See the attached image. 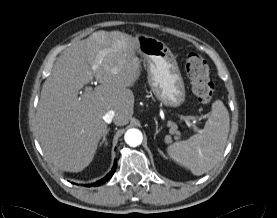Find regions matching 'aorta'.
Returning <instances> with one entry per match:
<instances>
[{
    "label": "aorta",
    "mask_w": 277,
    "mask_h": 218,
    "mask_svg": "<svg viewBox=\"0 0 277 218\" xmlns=\"http://www.w3.org/2000/svg\"><path fill=\"white\" fill-rule=\"evenodd\" d=\"M124 138L125 142L131 147L139 146L143 140L141 131L135 128L127 130Z\"/></svg>",
    "instance_id": "1"
}]
</instances>
